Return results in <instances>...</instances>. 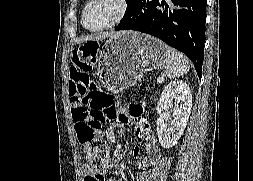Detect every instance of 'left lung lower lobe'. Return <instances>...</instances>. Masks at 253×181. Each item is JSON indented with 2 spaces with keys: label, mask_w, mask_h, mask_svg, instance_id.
I'll return each instance as SVG.
<instances>
[{
  "label": "left lung lower lobe",
  "mask_w": 253,
  "mask_h": 181,
  "mask_svg": "<svg viewBox=\"0 0 253 181\" xmlns=\"http://www.w3.org/2000/svg\"><path fill=\"white\" fill-rule=\"evenodd\" d=\"M207 0H137L116 30H135L155 36L183 52L199 78L204 58Z\"/></svg>",
  "instance_id": "obj_1"
}]
</instances>
